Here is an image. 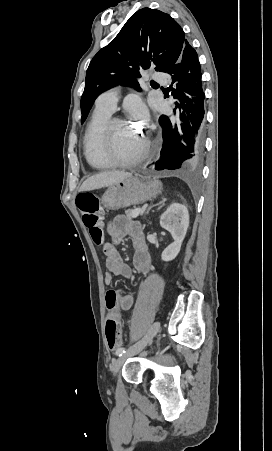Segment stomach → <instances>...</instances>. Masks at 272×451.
I'll return each mask as SVG.
<instances>
[{"label": "stomach", "mask_w": 272, "mask_h": 451, "mask_svg": "<svg viewBox=\"0 0 272 451\" xmlns=\"http://www.w3.org/2000/svg\"><path fill=\"white\" fill-rule=\"evenodd\" d=\"M161 184L158 180H143L140 176L124 178L117 184H112L102 196L101 204L107 210H119L128 208L133 204H143L146 200L155 198L161 192Z\"/></svg>", "instance_id": "1"}]
</instances>
